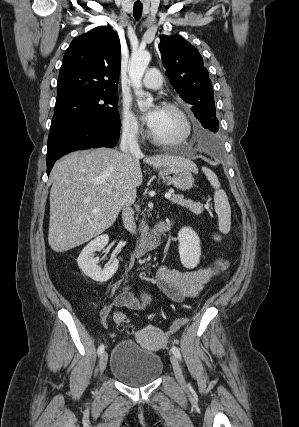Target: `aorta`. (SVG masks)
Listing matches in <instances>:
<instances>
[{
  "instance_id": "aorta-1",
  "label": "aorta",
  "mask_w": 299,
  "mask_h": 427,
  "mask_svg": "<svg viewBox=\"0 0 299 427\" xmlns=\"http://www.w3.org/2000/svg\"><path fill=\"white\" fill-rule=\"evenodd\" d=\"M150 59L151 55L148 51H135L132 53L129 63V76L135 94L139 98L138 105L139 107L146 109L153 106V98L150 94H146L142 90L141 80L150 62Z\"/></svg>"
}]
</instances>
